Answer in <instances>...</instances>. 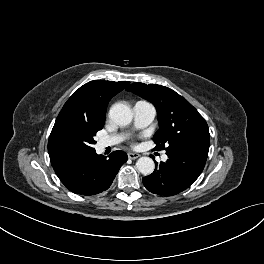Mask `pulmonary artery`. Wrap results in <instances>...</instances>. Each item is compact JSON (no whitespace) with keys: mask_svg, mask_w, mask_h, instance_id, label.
<instances>
[{"mask_svg":"<svg viewBox=\"0 0 264 264\" xmlns=\"http://www.w3.org/2000/svg\"><path fill=\"white\" fill-rule=\"evenodd\" d=\"M133 113H134V123L137 128H144L148 126L155 118L156 116V109L155 107L146 101H138L134 104L133 107ZM124 139L123 135L117 134L112 135L110 137L101 139L98 142V146L100 148H106L109 146L116 145L120 143ZM162 160H167V155H162Z\"/></svg>","mask_w":264,"mask_h":264,"instance_id":"pulmonary-artery-1","label":"pulmonary artery"}]
</instances>
